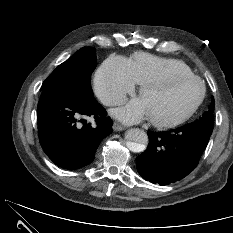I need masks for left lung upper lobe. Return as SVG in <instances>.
I'll use <instances>...</instances> for the list:
<instances>
[{"label": "left lung upper lobe", "mask_w": 233, "mask_h": 233, "mask_svg": "<svg viewBox=\"0 0 233 233\" xmlns=\"http://www.w3.org/2000/svg\"><path fill=\"white\" fill-rule=\"evenodd\" d=\"M214 98L212 97L211 105L209 106V109L207 112L203 114L202 117L199 118L196 122H194L197 125H201L204 127H207L209 129H213V110H214Z\"/></svg>", "instance_id": "1"}]
</instances>
